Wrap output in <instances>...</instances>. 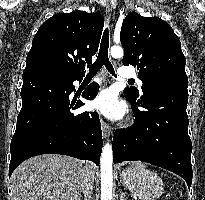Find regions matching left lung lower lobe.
I'll return each instance as SVG.
<instances>
[{
  "label": "left lung lower lobe",
  "instance_id": "1",
  "mask_svg": "<svg viewBox=\"0 0 205 200\" xmlns=\"http://www.w3.org/2000/svg\"><path fill=\"white\" fill-rule=\"evenodd\" d=\"M188 79L175 77L157 80L133 98L125 92L135 114L134 125L117 130L113 137L114 162H147L192 183V143L188 135ZM137 106L144 110L138 109Z\"/></svg>",
  "mask_w": 205,
  "mask_h": 200
}]
</instances>
